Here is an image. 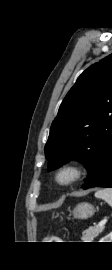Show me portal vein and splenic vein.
Instances as JSON below:
<instances>
[{
  "label": "portal vein and splenic vein",
  "instance_id": "1",
  "mask_svg": "<svg viewBox=\"0 0 112 270\" xmlns=\"http://www.w3.org/2000/svg\"><path fill=\"white\" fill-rule=\"evenodd\" d=\"M107 223V218H104L98 223V227L104 226Z\"/></svg>",
  "mask_w": 112,
  "mask_h": 270
}]
</instances>
